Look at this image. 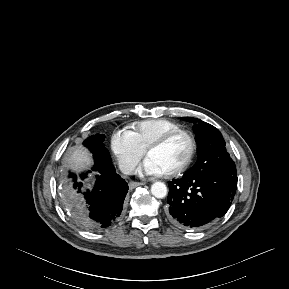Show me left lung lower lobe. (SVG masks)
Wrapping results in <instances>:
<instances>
[{
  "mask_svg": "<svg viewBox=\"0 0 289 289\" xmlns=\"http://www.w3.org/2000/svg\"><path fill=\"white\" fill-rule=\"evenodd\" d=\"M168 185V220L180 228L201 229L226 214L236 192L237 176L221 167L188 172Z\"/></svg>",
  "mask_w": 289,
  "mask_h": 289,
  "instance_id": "0a47b994",
  "label": "left lung lower lobe"
}]
</instances>
